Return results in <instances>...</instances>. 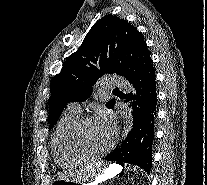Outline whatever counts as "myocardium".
I'll return each instance as SVG.
<instances>
[{"label":"myocardium","instance_id":"myocardium-1","mask_svg":"<svg viewBox=\"0 0 207 185\" xmlns=\"http://www.w3.org/2000/svg\"><path fill=\"white\" fill-rule=\"evenodd\" d=\"M92 120H94V118L92 116H85V117H82L76 121V123L72 127L71 134H70L71 144L77 151L82 152L88 156L102 157V156L107 155L112 150V148L115 145L116 137H115V134L113 133L112 137H111L110 144L106 149L101 150V151L91 150L83 142L82 137H81V133H82L84 126Z\"/></svg>","mask_w":207,"mask_h":185}]
</instances>
